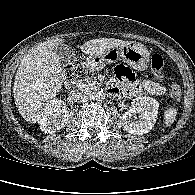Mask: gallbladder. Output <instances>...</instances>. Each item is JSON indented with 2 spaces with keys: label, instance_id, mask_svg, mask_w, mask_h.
Returning a JSON list of instances; mask_svg holds the SVG:
<instances>
[{
  "label": "gallbladder",
  "instance_id": "1",
  "mask_svg": "<svg viewBox=\"0 0 195 195\" xmlns=\"http://www.w3.org/2000/svg\"><path fill=\"white\" fill-rule=\"evenodd\" d=\"M55 52L63 66L73 64L76 61L74 50L65 44H61L55 48Z\"/></svg>",
  "mask_w": 195,
  "mask_h": 195
}]
</instances>
